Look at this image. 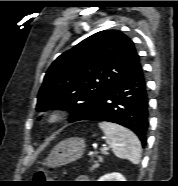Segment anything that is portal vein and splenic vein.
<instances>
[{
    "label": "portal vein and splenic vein",
    "instance_id": "obj_1",
    "mask_svg": "<svg viewBox=\"0 0 178 186\" xmlns=\"http://www.w3.org/2000/svg\"><path fill=\"white\" fill-rule=\"evenodd\" d=\"M107 150H108L107 147H104V148L102 149L103 152H105V151H107Z\"/></svg>",
    "mask_w": 178,
    "mask_h": 186
}]
</instances>
